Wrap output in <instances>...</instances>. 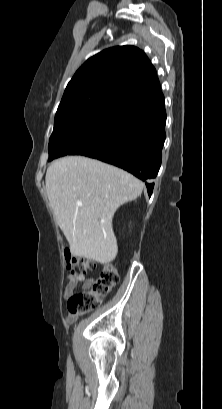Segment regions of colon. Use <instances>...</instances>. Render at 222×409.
<instances>
[{
	"instance_id": "colon-1",
	"label": "colon",
	"mask_w": 222,
	"mask_h": 409,
	"mask_svg": "<svg viewBox=\"0 0 222 409\" xmlns=\"http://www.w3.org/2000/svg\"><path fill=\"white\" fill-rule=\"evenodd\" d=\"M64 255L69 270L76 274L85 273L95 267V263L84 258L76 257L69 248H65ZM119 281L117 268L111 264L103 265L98 278L87 291L73 294L67 302V310L72 315L85 314L96 309L101 300L109 294Z\"/></svg>"
}]
</instances>
